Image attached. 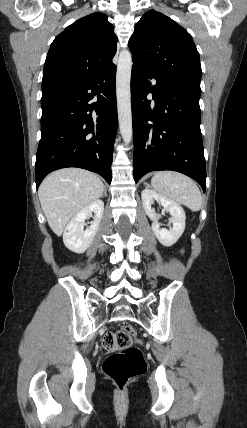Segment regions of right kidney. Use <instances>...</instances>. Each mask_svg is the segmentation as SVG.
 I'll list each match as a JSON object with an SVG mask.
<instances>
[{"instance_id": "obj_1", "label": "right kidney", "mask_w": 247, "mask_h": 428, "mask_svg": "<svg viewBox=\"0 0 247 428\" xmlns=\"http://www.w3.org/2000/svg\"><path fill=\"white\" fill-rule=\"evenodd\" d=\"M104 212L102 200H95L79 211L67 224L63 233L65 246L75 253H83L91 245L101 222ZM95 213L90 227L84 230L85 220Z\"/></svg>"}]
</instances>
